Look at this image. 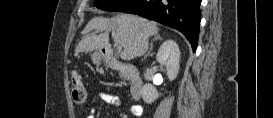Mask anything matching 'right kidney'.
I'll return each instance as SVG.
<instances>
[{
  "mask_svg": "<svg viewBox=\"0 0 273 118\" xmlns=\"http://www.w3.org/2000/svg\"><path fill=\"white\" fill-rule=\"evenodd\" d=\"M156 60L165 65L167 76L170 81H173L180 68V50L177 43L173 40H166L159 48L156 55ZM160 94L151 84H145L142 88V98L147 104L154 102Z\"/></svg>",
  "mask_w": 273,
  "mask_h": 118,
  "instance_id": "ca27d5eb",
  "label": "right kidney"
}]
</instances>
